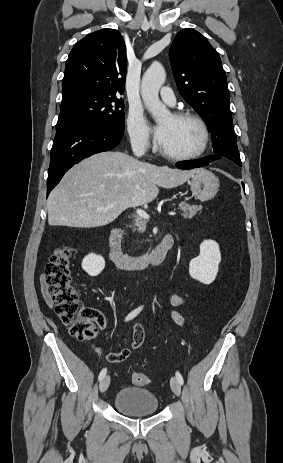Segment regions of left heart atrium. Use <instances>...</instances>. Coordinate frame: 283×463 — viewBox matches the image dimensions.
Instances as JSON below:
<instances>
[{
    "instance_id": "39dd6f15",
    "label": "left heart atrium",
    "mask_w": 283,
    "mask_h": 463,
    "mask_svg": "<svg viewBox=\"0 0 283 463\" xmlns=\"http://www.w3.org/2000/svg\"><path fill=\"white\" fill-rule=\"evenodd\" d=\"M164 135H165V129L162 127V126H157L155 128V137H156V140L159 144L162 143L163 139H164Z\"/></svg>"
}]
</instances>
